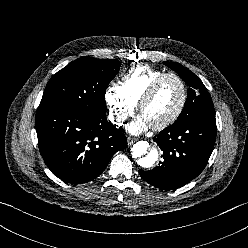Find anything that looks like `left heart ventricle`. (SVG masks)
I'll return each instance as SVG.
<instances>
[{
    "instance_id": "b2bd125f",
    "label": "left heart ventricle",
    "mask_w": 248,
    "mask_h": 248,
    "mask_svg": "<svg viewBox=\"0 0 248 248\" xmlns=\"http://www.w3.org/2000/svg\"><path fill=\"white\" fill-rule=\"evenodd\" d=\"M181 86L173 77L165 78L152 99L143 107V115L150 125L157 124L169 117L180 104Z\"/></svg>"
}]
</instances>
